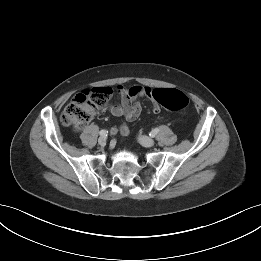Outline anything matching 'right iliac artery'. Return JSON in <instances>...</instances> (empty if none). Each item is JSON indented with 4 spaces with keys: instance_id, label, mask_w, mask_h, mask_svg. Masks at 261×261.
<instances>
[{
    "instance_id": "right-iliac-artery-1",
    "label": "right iliac artery",
    "mask_w": 261,
    "mask_h": 261,
    "mask_svg": "<svg viewBox=\"0 0 261 261\" xmlns=\"http://www.w3.org/2000/svg\"><path fill=\"white\" fill-rule=\"evenodd\" d=\"M107 131L106 130H101L100 132H99V134H100V136H107Z\"/></svg>"
}]
</instances>
